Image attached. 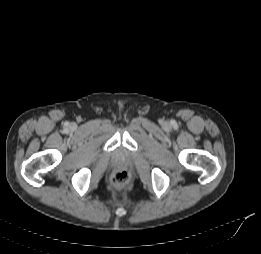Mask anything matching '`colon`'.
<instances>
[{"instance_id": "obj_1", "label": "colon", "mask_w": 261, "mask_h": 254, "mask_svg": "<svg viewBox=\"0 0 261 254\" xmlns=\"http://www.w3.org/2000/svg\"><path fill=\"white\" fill-rule=\"evenodd\" d=\"M130 178V173L128 171L119 170L112 174L110 182L115 189L122 190L128 186Z\"/></svg>"}]
</instances>
